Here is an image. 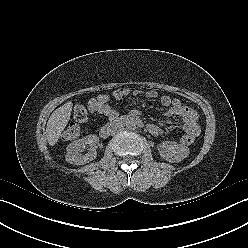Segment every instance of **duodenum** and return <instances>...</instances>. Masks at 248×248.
Listing matches in <instances>:
<instances>
[{
    "label": "duodenum",
    "instance_id": "1",
    "mask_svg": "<svg viewBox=\"0 0 248 248\" xmlns=\"http://www.w3.org/2000/svg\"><path fill=\"white\" fill-rule=\"evenodd\" d=\"M129 123H135L139 126H144L143 121L137 118L136 116L126 115V116L115 117L111 122H109L108 124L104 125L101 128L100 135L103 138H107L114 129H116L121 125L129 124Z\"/></svg>",
    "mask_w": 248,
    "mask_h": 248
}]
</instances>
